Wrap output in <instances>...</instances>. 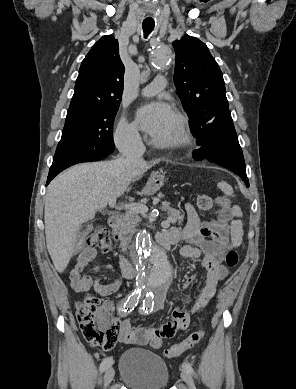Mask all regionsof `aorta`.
Here are the masks:
<instances>
[{"instance_id": "obj_1", "label": "aorta", "mask_w": 296, "mask_h": 389, "mask_svg": "<svg viewBox=\"0 0 296 389\" xmlns=\"http://www.w3.org/2000/svg\"><path fill=\"white\" fill-rule=\"evenodd\" d=\"M174 59L173 50L157 44L151 50V61L155 68H164ZM131 255L137 266V283L148 292L151 299L159 290L171 283L173 270L165 251L157 246L147 231H142L134 240Z\"/></svg>"}]
</instances>
